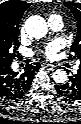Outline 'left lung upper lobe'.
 I'll return each mask as SVG.
<instances>
[{
  "instance_id": "left-lung-upper-lobe-1",
  "label": "left lung upper lobe",
  "mask_w": 81,
  "mask_h": 124,
  "mask_svg": "<svg viewBox=\"0 0 81 124\" xmlns=\"http://www.w3.org/2000/svg\"><path fill=\"white\" fill-rule=\"evenodd\" d=\"M64 4L70 9L77 21V33L71 51L75 53L74 58L81 60V4L72 2H64Z\"/></svg>"
}]
</instances>
